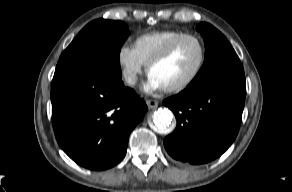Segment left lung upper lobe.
Masks as SVG:
<instances>
[{"instance_id": "1", "label": "left lung upper lobe", "mask_w": 292, "mask_h": 192, "mask_svg": "<svg viewBox=\"0 0 292 192\" xmlns=\"http://www.w3.org/2000/svg\"><path fill=\"white\" fill-rule=\"evenodd\" d=\"M196 29L204 38L206 57L203 67L188 86L219 78H245L241 61L226 37L205 22Z\"/></svg>"}]
</instances>
